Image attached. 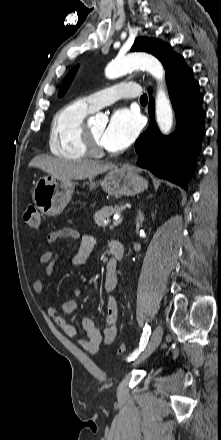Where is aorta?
Listing matches in <instances>:
<instances>
[{"instance_id": "aorta-1", "label": "aorta", "mask_w": 221, "mask_h": 440, "mask_svg": "<svg viewBox=\"0 0 221 440\" xmlns=\"http://www.w3.org/2000/svg\"><path fill=\"white\" fill-rule=\"evenodd\" d=\"M145 68L161 84L155 100L156 121L160 131L168 134L173 125V112L171 102L163 89L165 71L163 65L154 56L147 53H131L122 58H116L105 70L109 79L118 78L131 70Z\"/></svg>"}]
</instances>
